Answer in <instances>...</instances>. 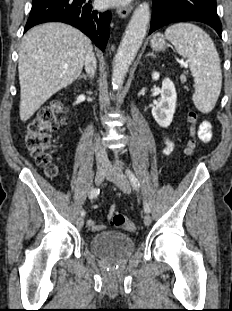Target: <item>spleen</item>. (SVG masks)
<instances>
[{
  "mask_svg": "<svg viewBox=\"0 0 232 311\" xmlns=\"http://www.w3.org/2000/svg\"><path fill=\"white\" fill-rule=\"evenodd\" d=\"M165 37L181 56L189 60L195 83L194 105L202 113L211 112L222 87L220 58L212 39L192 23H177L168 27Z\"/></svg>",
  "mask_w": 232,
  "mask_h": 311,
  "instance_id": "spleen-1",
  "label": "spleen"
}]
</instances>
